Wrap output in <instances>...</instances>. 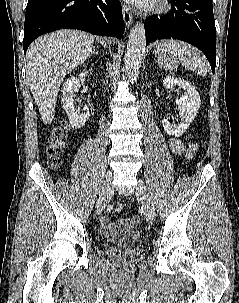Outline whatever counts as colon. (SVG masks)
<instances>
[{"mask_svg":"<svg viewBox=\"0 0 239 303\" xmlns=\"http://www.w3.org/2000/svg\"><path fill=\"white\" fill-rule=\"evenodd\" d=\"M68 125L66 123L57 127L49 137L48 147V164L51 169L57 170L62 165V151L66 144ZM124 210V205L119 203L115 206V212L121 213ZM134 223L138 224L139 219L135 218Z\"/></svg>","mask_w":239,"mask_h":303,"instance_id":"1","label":"colon"}]
</instances>
